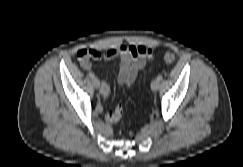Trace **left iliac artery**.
Listing matches in <instances>:
<instances>
[{
  "label": "left iliac artery",
  "mask_w": 243,
  "mask_h": 167,
  "mask_svg": "<svg viewBox=\"0 0 243 167\" xmlns=\"http://www.w3.org/2000/svg\"><path fill=\"white\" fill-rule=\"evenodd\" d=\"M163 79L162 75H158L157 80L161 81Z\"/></svg>",
  "instance_id": "44dca946"
}]
</instances>
